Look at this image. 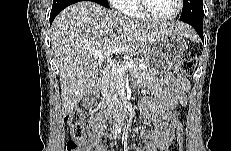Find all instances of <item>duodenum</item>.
<instances>
[{"label":"duodenum","mask_w":231,"mask_h":151,"mask_svg":"<svg viewBox=\"0 0 231 151\" xmlns=\"http://www.w3.org/2000/svg\"><path fill=\"white\" fill-rule=\"evenodd\" d=\"M100 88V81H94L90 86H89V92L92 95V97L99 91ZM130 113V108L127 102H123L121 105L118 106L114 121L115 125L117 127H121L124 122H125V117Z\"/></svg>","instance_id":"obj_1"}]
</instances>
